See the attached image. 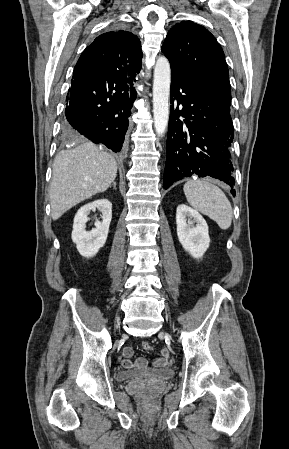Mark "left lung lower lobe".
<instances>
[{
    "label": "left lung lower lobe",
    "instance_id": "1",
    "mask_svg": "<svg viewBox=\"0 0 289 449\" xmlns=\"http://www.w3.org/2000/svg\"><path fill=\"white\" fill-rule=\"evenodd\" d=\"M170 91L172 105L163 188L191 176H210L233 188L230 107L190 75L171 71ZM231 192L235 196L234 190Z\"/></svg>",
    "mask_w": 289,
    "mask_h": 449
}]
</instances>
